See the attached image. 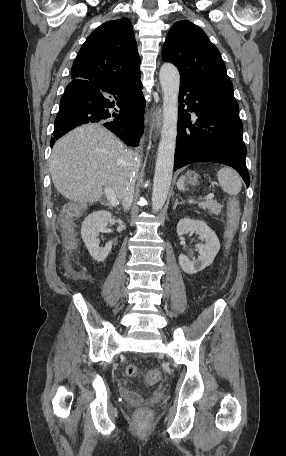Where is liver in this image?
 Here are the masks:
<instances>
[{
    "label": "liver",
    "mask_w": 286,
    "mask_h": 456,
    "mask_svg": "<svg viewBox=\"0 0 286 456\" xmlns=\"http://www.w3.org/2000/svg\"><path fill=\"white\" fill-rule=\"evenodd\" d=\"M133 152L107 129L83 125L69 132L53 147L49 169L56 190L81 204L97 202L103 187L122 199L132 183Z\"/></svg>",
    "instance_id": "1"
}]
</instances>
